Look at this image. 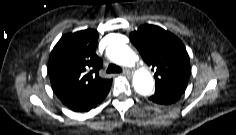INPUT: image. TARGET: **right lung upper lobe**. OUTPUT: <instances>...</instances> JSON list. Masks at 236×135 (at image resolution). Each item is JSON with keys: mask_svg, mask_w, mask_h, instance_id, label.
<instances>
[{"mask_svg": "<svg viewBox=\"0 0 236 135\" xmlns=\"http://www.w3.org/2000/svg\"><path fill=\"white\" fill-rule=\"evenodd\" d=\"M98 32L87 29L68 33L58 41L49 58V77L53 91L59 98L93 93L109 79L98 72L102 59L95 54Z\"/></svg>", "mask_w": 236, "mask_h": 135, "instance_id": "obj_1", "label": "right lung upper lobe"}]
</instances>
